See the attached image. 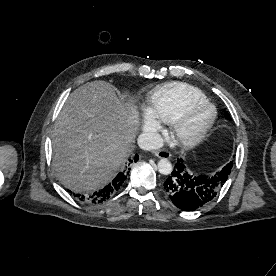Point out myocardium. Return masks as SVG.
<instances>
[{
    "label": "myocardium",
    "mask_w": 276,
    "mask_h": 276,
    "mask_svg": "<svg viewBox=\"0 0 276 276\" xmlns=\"http://www.w3.org/2000/svg\"><path fill=\"white\" fill-rule=\"evenodd\" d=\"M200 105H207L212 109V116L210 120L199 131L193 134L184 133V126L191 111ZM217 118V109L214 104L207 99L194 100L188 103L182 112L171 123V132L174 139L184 147H194L201 143L210 129L213 127Z\"/></svg>",
    "instance_id": "myocardium-1"
}]
</instances>
